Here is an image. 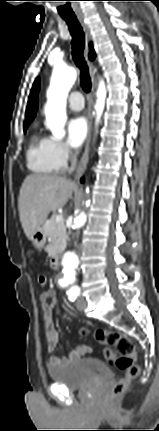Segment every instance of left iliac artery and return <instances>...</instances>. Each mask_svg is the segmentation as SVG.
I'll return each mask as SVG.
<instances>
[{"label": "left iliac artery", "mask_w": 159, "mask_h": 431, "mask_svg": "<svg viewBox=\"0 0 159 431\" xmlns=\"http://www.w3.org/2000/svg\"><path fill=\"white\" fill-rule=\"evenodd\" d=\"M78 295H79V289H77V290L74 292L73 297H74V298H76Z\"/></svg>", "instance_id": "1"}]
</instances>
